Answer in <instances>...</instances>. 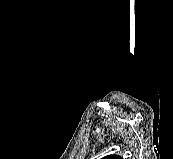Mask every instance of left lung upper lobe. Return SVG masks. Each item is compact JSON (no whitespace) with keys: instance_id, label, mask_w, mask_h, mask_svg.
<instances>
[{"instance_id":"5c2ea615","label":"left lung upper lobe","mask_w":173,"mask_h":159,"mask_svg":"<svg viewBox=\"0 0 173 159\" xmlns=\"http://www.w3.org/2000/svg\"><path fill=\"white\" fill-rule=\"evenodd\" d=\"M102 159H122V158L118 155H108L106 157H103Z\"/></svg>"}]
</instances>
